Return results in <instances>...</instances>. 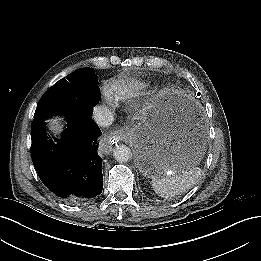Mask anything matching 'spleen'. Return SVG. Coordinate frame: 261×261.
Segmentation results:
<instances>
[{
	"mask_svg": "<svg viewBox=\"0 0 261 261\" xmlns=\"http://www.w3.org/2000/svg\"><path fill=\"white\" fill-rule=\"evenodd\" d=\"M200 176L201 169L193 167L178 173L173 172L172 175L154 178L152 187L157 195L169 198L187 192L199 180Z\"/></svg>",
	"mask_w": 261,
	"mask_h": 261,
	"instance_id": "obj_1",
	"label": "spleen"
}]
</instances>
